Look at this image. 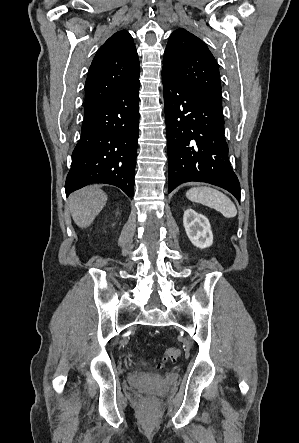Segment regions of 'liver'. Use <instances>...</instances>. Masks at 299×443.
Instances as JSON below:
<instances>
[{"label": "liver", "instance_id": "liver-1", "mask_svg": "<svg viewBox=\"0 0 299 443\" xmlns=\"http://www.w3.org/2000/svg\"><path fill=\"white\" fill-rule=\"evenodd\" d=\"M107 195L98 186H87L69 196L71 216L80 228L91 225L107 202Z\"/></svg>", "mask_w": 299, "mask_h": 443}]
</instances>
